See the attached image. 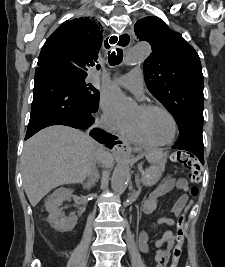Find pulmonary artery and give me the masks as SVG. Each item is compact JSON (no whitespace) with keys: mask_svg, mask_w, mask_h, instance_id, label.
I'll return each mask as SVG.
<instances>
[{"mask_svg":"<svg viewBox=\"0 0 225 267\" xmlns=\"http://www.w3.org/2000/svg\"><path fill=\"white\" fill-rule=\"evenodd\" d=\"M115 82L138 95L142 94L144 79L139 67H135L129 73L117 77Z\"/></svg>","mask_w":225,"mask_h":267,"instance_id":"1","label":"pulmonary artery"}]
</instances>
